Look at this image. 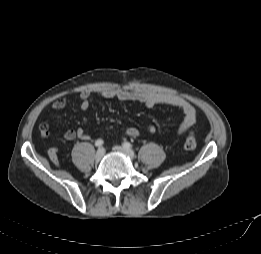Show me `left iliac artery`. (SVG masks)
<instances>
[{
	"mask_svg": "<svg viewBox=\"0 0 261 254\" xmlns=\"http://www.w3.org/2000/svg\"><path fill=\"white\" fill-rule=\"evenodd\" d=\"M123 146H124L126 149H131V148H132V144L129 143V142H124V143H123Z\"/></svg>",
	"mask_w": 261,
	"mask_h": 254,
	"instance_id": "1",
	"label": "left iliac artery"
}]
</instances>
